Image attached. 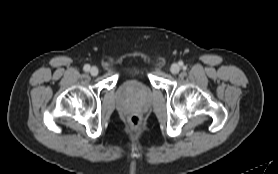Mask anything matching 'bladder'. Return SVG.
I'll return each mask as SVG.
<instances>
[{
    "mask_svg": "<svg viewBox=\"0 0 278 174\" xmlns=\"http://www.w3.org/2000/svg\"><path fill=\"white\" fill-rule=\"evenodd\" d=\"M133 70L134 71H139V70H141L139 67H133Z\"/></svg>",
    "mask_w": 278,
    "mask_h": 174,
    "instance_id": "1",
    "label": "bladder"
}]
</instances>
